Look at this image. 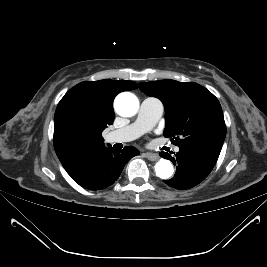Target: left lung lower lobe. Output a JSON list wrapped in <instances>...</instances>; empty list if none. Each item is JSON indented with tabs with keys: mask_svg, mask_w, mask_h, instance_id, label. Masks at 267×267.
I'll use <instances>...</instances> for the list:
<instances>
[{
	"mask_svg": "<svg viewBox=\"0 0 267 267\" xmlns=\"http://www.w3.org/2000/svg\"><path fill=\"white\" fill-rule=\"evenodd\" d=\"M173 157L167 152L160 156L173 162L176 173L164 182L176 189H189L203 181L213 169L220 152L203 147L179 148Z\"/></svg>",
	"mask_w": 267,
	"mask_h": 267,
	"instance_id": "1",
	"label": "left lung lower lobe"
}]
</instances>
